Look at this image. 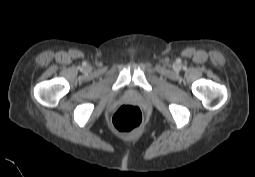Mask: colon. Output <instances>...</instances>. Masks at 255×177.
<instances>
[{
	"instance_id": "1",
	"label": "colon",
	"mask_w": 255,
	"mask_h": 177,
	"mask_svg": "<svg viewBox=\"0 0 255 177\" xmlns=\"http://www.w3.org/2000/svg\"><path fill=\"white\" fill-rule=\"evenodd\" d=\"M142 120V113L138 106L124 104L116 110L111 122L117 131L128 133L138 129L142 124Z\"/></svg>"
}]
</instances>
